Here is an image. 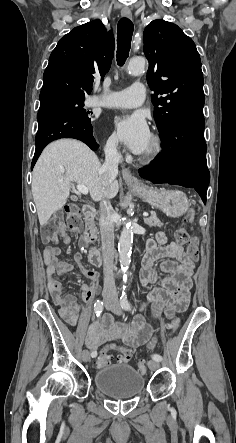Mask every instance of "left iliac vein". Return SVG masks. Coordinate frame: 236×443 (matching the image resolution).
Here are the masks:
<instances>
[{
  "instance_id": "1",
  "label": "left iliac vein",
  "mask_w": 236,
  "mask_h": 443,
  "mask_svg": "<svg viewBox=\"0 0 236 443\" xmlns=\"http://www.w3.org/2000/svg\"><path fill=\"white\" fill-rule=\"evenodd\" d=\"M111 311L116 315L122 314V309L119 305H113V307L111 308ZM148 366H149L150 370L155 371L160 367V363H159V361L151 360L148 362Z\"/></svg>"
}]
</instances>
